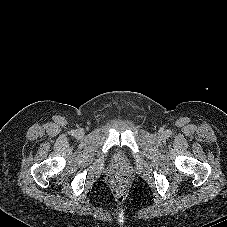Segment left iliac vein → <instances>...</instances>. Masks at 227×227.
<instances>
[{
  "instance_id": "4c4485c4",
  "label": "left iliac vein",
  "mask_w": 227,
  "mask_h": 227,
  "mask_svg": "<svg viewBox=\"0 0 227 227\" xmlns=\"http://www.w3.org/2000/svg\"><path fill=\"white\" fill-rule=\"evenodd\" d=\"M165 135H166V134H165V132H163V131L159 133L160 138H164Z\"/></svg>"
}]
</instances>
